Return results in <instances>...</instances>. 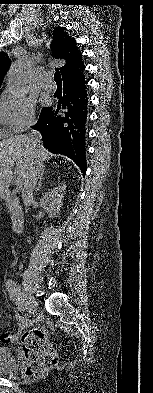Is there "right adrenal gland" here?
<instances>
[{"label": "right adrenal gland", "mask_w": 153, "mask_h": 393, "mask_svg": "<svg viewBox=\"0 0 153 393\" xmlns=\"http://www.w3.org/2000/svg\"><path fill=\"white\" fill-rule=\"evenodd\" d=\"M43 173H44V171L42 172V174H41V177H40V180H39V183H38V187L36 188V192L38 193V192H40L41 191V188H42V181H43Z\"/></svg>", "instance_id": "right-adrenal-gland-1"}]
</instances>
